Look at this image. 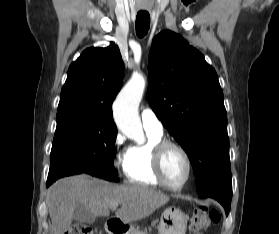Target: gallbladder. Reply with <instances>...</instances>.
<instances>
[{
	"label": "gallbladder",
	"instance_id": "1",
	"mask_svg": "<svg viewBox=\"0 0 279 234\" xmlns=\"http://www.w3.org/2000/svg\"><path fill=\"white\" fill-rule=\"evenodd\" d=\"M73 219L79 222L93 223L95 221V216L89 210L78 205L75 207Z\"/></svg>",
	"mask_w": 279,
	"mask_h": 234
}]
</instances>
